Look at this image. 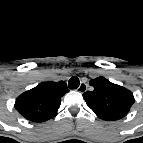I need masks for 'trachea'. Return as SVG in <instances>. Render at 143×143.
I'll list each match as a JSON object with an SVG mask.
<instances>
[{
	"instance_id": "obj_1",
	"label": "trachea",
	"mask_w": 143,
	"mask_h": 143,
	"mask_svg": "<svg viewBox=\"0 0 143 143\" xmlns=\"http://www.w3.org/2000/svg\"><path fill=\"white\" fill-rule=\"evenodd\" d=\"M79 85H80V81H79V78L76 76H72L68 81V87L70 89H76L79 87Z\"/></svg>"
}]
</instances>
